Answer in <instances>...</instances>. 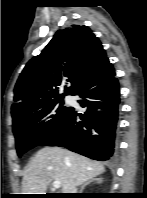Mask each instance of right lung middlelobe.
Wrapping results in <instances>:
<instances>
[{
  "label": "right lung middle lobe",
  "mask_w": 147,
  "mask_h": 198,
  "mask_svg": "<svg viewBox=\"0 0 147 198\" xmlns=\"http://www.w3.org/2000/svg\"><path fill=\"white\" fill-rule=\"evenodd\" d=\"M71 110L72 108L63 106V99H59L13 122L18 156L52 136L65 122Z\"/></svg>",
  "instance_id": "obj_1"
}]
</instances>
